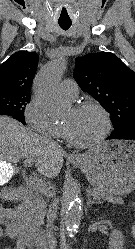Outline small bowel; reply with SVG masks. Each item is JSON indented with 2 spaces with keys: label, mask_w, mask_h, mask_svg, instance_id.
<instances>
[{
  "label": "small bowel",
  "mask_w": 135,
  "mask_h": 249,
  "mask_svg": "<svg viewBox=\"0 0 135 249\" xmlns=\"http://www.w3.org/2000/svg\"><path fill=\"white\" fill-rule=\"evenodd\" d=\"M0 237L15 240L14 245L6 249L27 248L24 226L16 207H4L0 204Z\"/></svg>",
  "instance_id": "c3829d8e"
}]
</instances>
